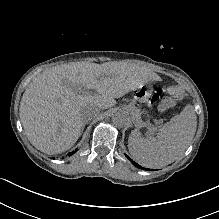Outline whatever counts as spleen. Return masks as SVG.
<instances>
[{"instance_id":"spleen-1","label":"spleen","mask_w":219,"mask_h":219,"mask_svg":"<svg viewBox=\"0 0 219 219\" xmlns=\"http://www.w3.org/2000/svg\"><path fill=\"white\" fill-rule=\"evenodd\" d=\"M197 117L192 105L166 123L156 137L143 138L136 129L128 139L132 158L147 168H161L175 160L188 148L196 132Z\"/></svg>"}]
</instances>
